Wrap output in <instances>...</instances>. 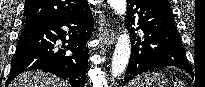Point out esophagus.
<instances>
[{
    "label": "esophagus",
    "mask_w": 205,
    "mask_h": 87,
    "mask_svg": "<svg viewBox=\"0 0 205 87\" xmlns=\"http://www.w3.org/2000/svg\"><path fill=\"white\" fill-rule=\"evenodd\" d=\"M104 44L106 46L112 45L116 40V32L110 28V24L106 22V29L103 34Z\"/></svg>",
    "instance_id": "esophagus-1"
}]
</instances>
